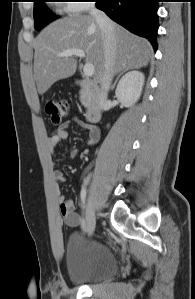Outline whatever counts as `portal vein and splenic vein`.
<instances>
[{"instance_id": "18ae733b", "label": "portal vein and splenic vein", "mask_w": 195, "mask_h": 299, "mask_svg": "<svg viewBox=\"0 0 195 299\" xmlns=\"http://www.w3.org/2000/svg\"><path fill=\"white\" fill-rule=\"evenodd\" d=\"M77 56L80 58H85V52L81 49H67L61 53H58L60 57H69V56ZM94 65L92 63L86 62L83 68L84 75L86 77H92L94 75Z\"/></svg>"}]
</instances>
